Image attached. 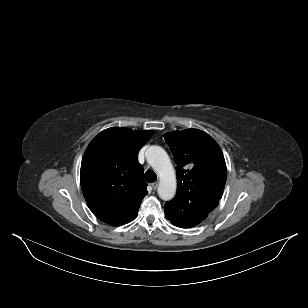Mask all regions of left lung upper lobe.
<instances>
[{
    "instance_id": "left-lung-upper-lobe-1",
    "label": "left lung upper lobe",
    "mask_w": 308,
    "mask_h": 308,
    "mask_svg": "<svg viewBox=\"0 0 308 308\" xmlns=\"http://www.w3.org/2000/svg\"><path fill=\"white\" fill-rule=\"evenodd\" d=\"M164 138L177 164V195L165 203V216L186 222L207 216L222 197L227 169L219 145L198 129L169 132Z\"/></svg>"
}]
</instances>
